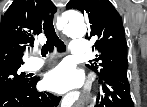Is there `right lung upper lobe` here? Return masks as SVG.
<instances>
[{
  "instance_id": "cb5924a9",
  "label": "right lung upper lobe",
  "mask_w": 147,
  "mask_h": 107,
  "mask_svg": "<svg viewBox=\"0 0 147 107\" xmlns=\"http://www.w3.org/2000/svg\"><path fill=\"white\" fill-rule=\"evenodd\" d=\"M56 11L50 0L13 1L0 24V69L24 63L23 52L42 32V19Z\"/></svg>"
}]
</instances>
